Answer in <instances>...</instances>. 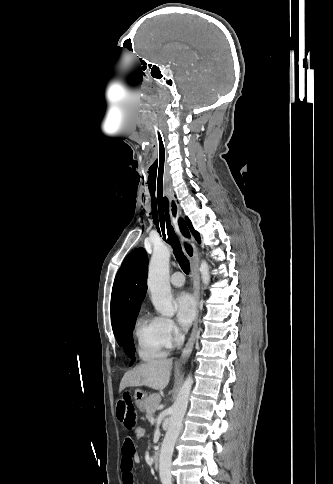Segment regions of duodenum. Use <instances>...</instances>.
<instances>
[{"instance_id": "duodenum-1", "label": "duodenum", "mask_w": 333, "mask_h": 484, "mask_svg": "<svg viewBox=\"0 0 333 484\" xmlns=\"http://www.w3.org/2000/svg\"><path fill=\"white\" fill-rule=\"evenodd\" d=\"M153 465L155 469L160 467V449H156L153 453Z\"/></svg>"}]
</instances>
